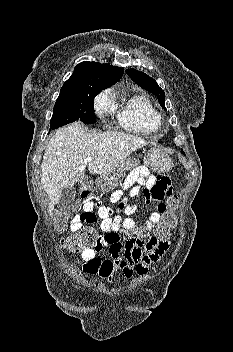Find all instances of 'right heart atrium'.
Segmentation results:
<instances>
[{"label":"right heart atrium","instance_id":"right-heart-atrium-1","mask_svg":"<svg viewBox=\"0 0 233 352\" xmlns=\"http://www.w3.org/2000/svg\"><path fill=\"white\" fill-rule=\"evenodd\" d=\"M96 114L103 118L111 114L115 108L113 96L109 90L101 92L94 101Z\"/></svg>","mask_w":233,"mask_h":352}]
</instances>
